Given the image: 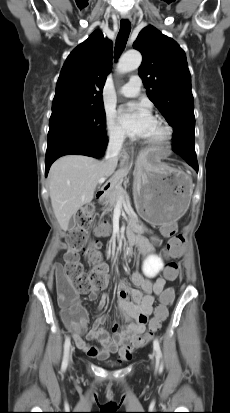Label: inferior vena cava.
<instances>
[{
  "mask_svg": "<svg viewBox=\"0 0 230 413\" xmlns=\"http://www.w3.org/2000/svg\"><path fill=\"white\" fill-rule=\"evenodd\" d=\"M123 141H124V133L120 131L114 133L110 137L107 150H106L105 161L114 167L117 166L118 155L121 151Z\"/></svg>",
  "mask_w": 230,
  "mask_h": 413,
  "instance_id": "inferior-vena-cava-1",
  "label": "inferior vena cava"
}]
</instances>
